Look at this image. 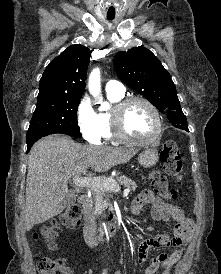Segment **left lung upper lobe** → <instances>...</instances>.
<instances>
[{"label": "left lung upper lobe", "instance_id": "left-lung-upper-lobe-1", "mask_svg": "<svg viewBox=\"0 0 221 274\" xmlns=\"http://www.w3.org/2000/svg\"><path fill=\"white\" fill-rule=\"evenodd\" d=\"M114 68L125 84L142 94L160 112L167 113L175 127H188L175 84L150 50L135 47L127 52H119L114 58Z\"/></svg>", "mask_w": 221, "mask_h": 274}]
</instances>
